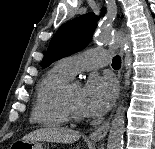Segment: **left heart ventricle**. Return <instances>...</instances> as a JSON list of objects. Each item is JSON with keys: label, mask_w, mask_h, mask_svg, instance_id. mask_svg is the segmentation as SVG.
Wrapping results in <instances>:
<instances>
[{"label": "left heart ventricle", "mask_w": 155, "mask_h": 149, "mask_svg": "<svg viewBox=\"0 0 155 149\" xmlns=\"http://www.w3.org/2000/svg\"><path fill=\"white\" fill-rule=\"evenodd\" d=\"M66 95H67L68 102L73 107V109L76 112L82 114L80 109L81 89L79 87L69 85Z\"/></svg>", "instance_id": "left-heart-ventricle-1"}]
</instances>
